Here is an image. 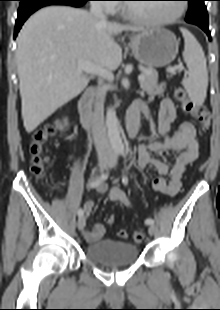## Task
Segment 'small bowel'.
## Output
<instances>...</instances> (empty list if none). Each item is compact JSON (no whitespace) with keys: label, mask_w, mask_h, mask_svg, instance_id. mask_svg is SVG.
<instances>
[{"label":"small bowel","mask_w":220,"mask_h":310,"mask_svg":"<svg viewBox=\"0 0 220 310\" xmlns=\"http://www.w3.org/2000/svg\"><path fill=\"white\" fill-rule=\"evenodd\" d=\"M129 110H135L139 114L143 113L149 116L147 107L139 102L131 106ZM176 118V111L173 102L166 98L162 101L158 114V131L162 139L142 144L138 148V169L142 172L147 166H153L158 176L152 181V188L162 194L175 196L181 189V180L187 166L198 156L199 144L196 139V129L191 122H183L179 130L171 135V124ZM158 152H179L175 158L172 168L167 162L157 158L155 153ZM146 183L145 178L142 179ZM97 191L105 195L110 201L121 203L131 207V201L127 195L116 188H108L106 185H99ZM93 208V202L87 201L84 204V210L88 215ZM105 226L96 223L92 228L84 230V237L88 242H97L103 238Z\"/></svg>","instance_id":"obj_1"}]
</instances>
